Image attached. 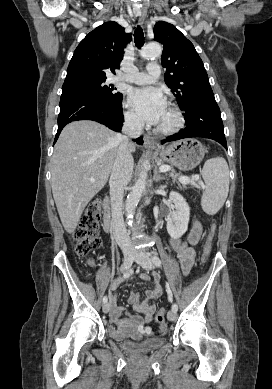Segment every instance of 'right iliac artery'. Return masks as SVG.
I'll return each instance as SVG.
<instances>
[{
  "label": "right iliac artery",
  "instance_id": "1",
  "mask_svg": "<svg viewBox=\"0 0 272 389\" xmlns=\"http://www.w3.org/2000/svg\"><path fill=\"white\" fill-rule=\"evenodd\" d=\"M131 274H132V270H130V271L124 273L120 278H118V281H123V280H125V279H128V278L130 277ZM107 301H108L107 296H104V297H103V303L105 304V303H107Z\"/></svg>",
  "mask_w": 272,
  "mask_h": 389
}]
</instances>
